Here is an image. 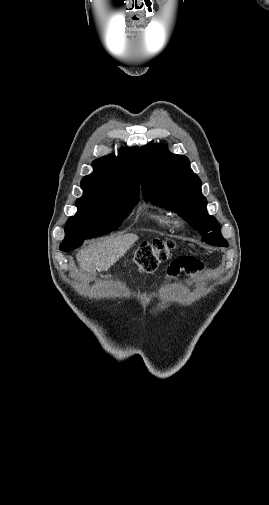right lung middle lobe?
I'll return each mask as SVG.
<instances>
[{"instance_id":"1","label":"right lung middle lobe","mask_w":269,"mask_h":505,"mask_svg":"<svg viewBox=\"0 0 269 505\" xmlns=\"http://www.w3.org/2000/svg\"><path fill=\"white\" fill-rule=\"evenodd\" d=\"M137 197H81L77 200V213L65 225V239L61 251H71L85 239L98 237L116 230L128 216Z\"/></svg>"}]
</instances>
